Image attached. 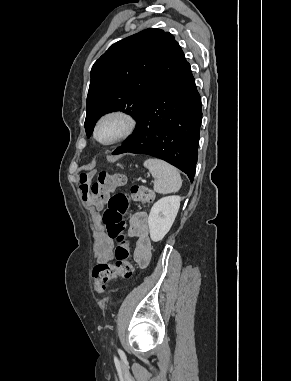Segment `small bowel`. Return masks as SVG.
Returning <instances> with one entry per match:
<instances>
[{
	"label": "small bowel",
	"mask_w": 291,
	"mask_h": 381,
	"mask_svg": "<svg viewBox=\"0 0 291 381\" xmlns=\"http://www.w3.org/2000/svg\"><path fill=\"white\" fill-rule=\"evenodd\" d=\"M130 234L136 239L135 259L140 266H146L151 258L152 245L149 238L148 215L136 212L130 219ZM114 243L105 233L98 236L96 257L98 262H108L113 258Z\"/></svg>",
	"instance_id": "1"
}]
</instances>
